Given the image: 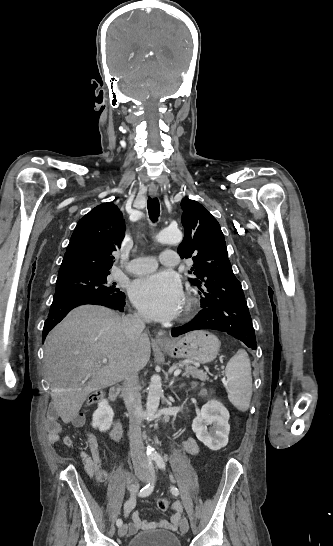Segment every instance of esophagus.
Wrapping results in <instances>:
<instances>
[{"label": "esophagus", "instance_id": "obj_1", "mask_svg": "<svg viewBox=\"0 0 333 546\" xmlns=\"http://www.w3.org/2000/svg\"><path fill=\"white\" fill-rule=\"evenodd\" d=\"M158 194V188L156 187V185L154 184H151L149 186V195L154 198L156 197ZM156 342L158 344H169L170 343V340L167 338V336L165 335V333L163 331H159L158 334L156 335V338H155Z\"/></svg>", "mask_w": 333, "mask_h": 546}]
</instances>
